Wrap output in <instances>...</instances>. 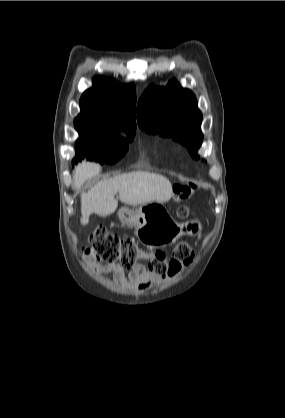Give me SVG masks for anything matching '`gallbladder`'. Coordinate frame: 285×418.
Here are the masks:
<instances>
[{"instance_id": "gallbladder-1", "label": "gallbladder", "mask_w": 285, "mask_h": 418, "mask_svg": "<svg viewBox=\"0 0 285 418\" xmlns=\"http://www.w3.org/2000/svg\"><path fill=\"white\" fill-rule=\"evenodd\" d=\"M88 222V219H84L83 221H82V223L83 224H86Z\"/></svg>"}]
</instances>
